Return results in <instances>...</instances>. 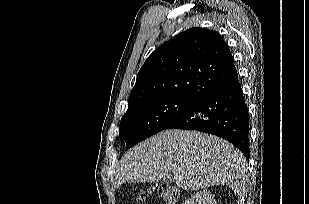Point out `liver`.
<instances>
[{
    "instance_id": "liver-1",
    "label": "liver",
    "mask_w": 309,
    "mask_h": 204,
    "mask_svg": "<svg viewBox=\"0 0 309 204\" xmlns=\"http://www.w3.org/2000/svg\"><path fill=\"white\" fill-rule=\"evenodd\" d=\"M115 186L155 183L168 172L185 190L227 185L239 194L244 187L247 162L229 142L198 131H162L127 152Z\"/></svg>"
}]
</instances>
